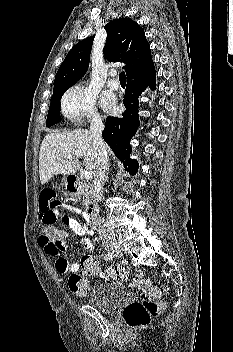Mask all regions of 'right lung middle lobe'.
<instances>
[{
	"label": "right lung middle lobe",
	"mask_w": 233,
	"mask_h": 352,
	"mask_svg": "<svg viewBox=\"0 0 233 352\" xmlns=\"http://www.w3.org/2000/svg\"><path fill=\"white\" fill-rule=\"evenodd\" d=\"M72 85L68 86H58L53 88V95L51 97V104L48 111V116L46 120V126L50 127L53 124L59 122L60 117V100L64 92L70 88Z\"/></svg>",
	"instance_id": "dd1d6c3e"
}]
</instances>
